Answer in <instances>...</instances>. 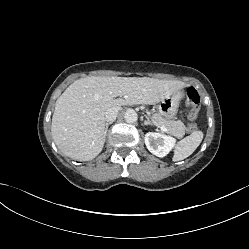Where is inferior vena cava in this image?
I'll list each match as a JSON object with an SVG mask.
<instances>
[{
  "mask_svg": "<svg viewBox=\"0 0 249 249\" xmlns=\"http://www.w3.org/2000/svg\"><path fill=\"white\" fill-rule=\"evenodd\" d=\"M120 107H112L108 109L105 113V120L107 122H113L116 120Z\"/></svg>",
  "mask_w": 249,
  "mask_h": 249,
  "instance_id": "1",
  "label": "inferior vena cava"
}]
</instances>
